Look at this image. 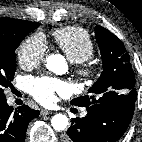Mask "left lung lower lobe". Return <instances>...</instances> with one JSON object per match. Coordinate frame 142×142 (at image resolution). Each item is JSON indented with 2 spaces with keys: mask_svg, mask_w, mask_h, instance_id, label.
<instances>
[{
  "mask_svg": "<svg viewBox=\"0 0 142 142\" xmlns=\"http://www.w3.org/2000/svg\"><path fill=\"white\" fill-rule=\"evenodd\" d=\"M135 100L123 99L86 107L84 118H75L63 142H116L131 122Z\"/></svg>",
  "mask_w": 142,
  "mask_h": 142,
  "instance_id": "obj_1",
  "label": "left lung lower lobe"
}]
</instances>
